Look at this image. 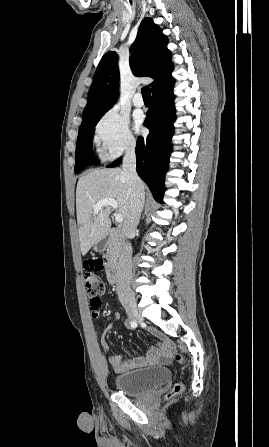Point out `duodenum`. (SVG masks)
I'll use <instances>...</instances> for the list:
<instances>
[{"label": "duodenum", "instance_id": "410a0bca", "mask_svg": "<svg viewBox=\"0 0 269 447\" xmlns=\"http://www.w3.org/2000/svg\"><path fill=\"white\" fill-rule=\"evenodd\" d=\"M105 238L120 241L122 239V231L119 228H111L106 232ZM106 274L109 283H116L117 265L115 263L109 264L106 270Z\"/></svg>", "mask_w": 269, "mask_h": 447}]
</instances>
